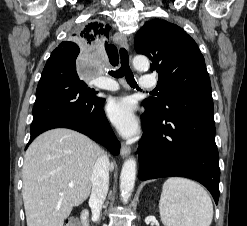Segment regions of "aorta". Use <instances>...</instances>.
<instances>
[{
  "instance_id": "obj_1",
  "label": "aorta",
  "mask_w": 247,
  "mask_h": 226,
  "mask_svg": "<svg viewBox=\"0 0 247 226\" xmlns=\"http://www.w3.org/2000/svg\"><path fill=\"white\" fill-rule=\"evenodd\" d=\"M133 66L138 71H147L150 67V62L147 57L138 55L133 59ZM136 177V160L134 158L127 159L120 174V192L123 203H127L134 189Z\"/></svg>"
}]
</instances>
